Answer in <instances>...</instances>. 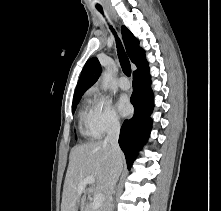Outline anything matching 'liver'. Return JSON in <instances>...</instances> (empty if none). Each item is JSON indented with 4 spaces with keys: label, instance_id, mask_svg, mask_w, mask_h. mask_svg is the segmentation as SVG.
<instances>
[{
    "label": "liver",
    "instance_id": "liver-1",
    "mask_svg": "<svg viewBox=\"0 0 221 211\" xmlns=\"http://www.w3.org/2000/svg\"><path fill=\"white\" fill-rule=\"evenodd\" d=\"M124 156H121L123 164ZM115 160L109 144L105 141L90 142L74 147L70 152L69 165L64 181L61 211H83L86 197L91 193L107 196L108 183ZM88 176L95 182L90 187L79 190V184Z\"/></svg>",
    "mask_w": 221,
    "mask_h": 211
}]
</instances>
